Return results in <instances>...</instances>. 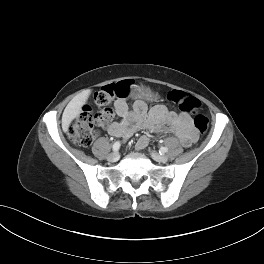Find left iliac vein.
Listing matches in <instances>:
<instances>
[{"instance_id": "4c4485c4", "label": "left iliac vein", "mask_w": 264, "mask_h": 264, "mask_svg": "<svg viewBox=\"0 0 264 264\" xmlns=\"http://www.w3.org/2000/svg\"><path fill=\"white\" fill-rule=\"evenodd\" d=\"M151 157H152L155 161H157V162H161V163H165V162L168 161V157H167V156H165V155H161V154H159V153L156 152V151H152V152H151Z\"/></svg>"}]
</instances>
